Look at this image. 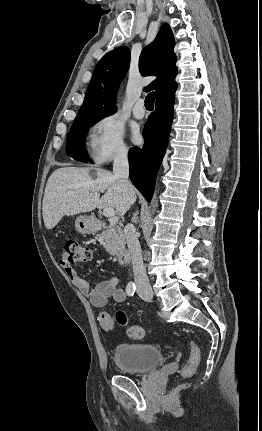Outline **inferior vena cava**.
Masks as SVG:
<instances>
[{
	"mask_svg": "<svg viewBox=\"0 0 262 431\" xmlns=\"http://www.w3.org/2000/svg\"><path fill=\"white\" fill-rule=\"evenodd\" d=\"M113 175L116 178L121 179L128 190L132 189V186L128 181V177H129L128 151L125 148L120 149L114 158ZM124 232H125L128 249L131 254L132 268H133L134 280H135L137 290L138 291L146 290L151 292V286L143 264L141 246L136 236L135 227L133 225H128L125 228Z\"/></svg>",
	"mask_w": 262,
	"mask_h": 431,
	"instance_id": "obj_1",
	"label": "inferior vena cava"
}]
</instances>
